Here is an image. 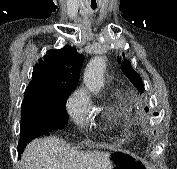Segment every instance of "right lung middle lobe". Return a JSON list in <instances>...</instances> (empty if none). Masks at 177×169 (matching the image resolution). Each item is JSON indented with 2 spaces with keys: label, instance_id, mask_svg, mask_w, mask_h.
<instances>
[{
  "label": "right lung middle lobe",
  "instance_id": "dd1d6c3e",
  "mask_svg": "<svg viewBox=\"0 0 177 169\" xmlns=\"http://www.w3.org/2000/svg\"><path fill=\"white\" fill-rule=\"evenodd\" d=\"M67 97L53 102L23 101L21 124H33L46 129H60L67 123Z\"/></svg>",
  "mask_w": 177,
  "mask_h": 169
}]
</instances>
